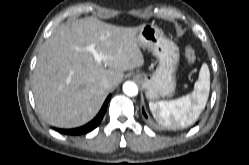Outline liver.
I'll return each mask as SVG.
<instances>
[{
  "mask_svg": "<svg viewBox=\"0 0 249 165\" xmlns=\"http://www.w3.org/2000/svg\"><path fill=\"white\" fill-rule=\"evenodd\" d=\"M140 27L125 28L94 17L60 25L43 44L33 74L36 108L50 125L75 128L91 121L124 71L144 65L136 40ZM111 57L97 63L87 47ZM108 67V68H106ZM112 81L105 89L101 82Z\"/></svg>",
  "mask_w": 249,
  "mask_h": 165,
  "instance_id": "1",
  "label": "liver"
}]
</instances>
